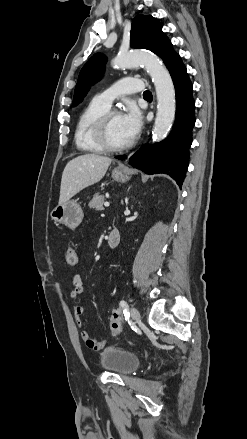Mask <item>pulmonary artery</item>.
<instances>
[{
  "label": "pulmonary artery",
  "instance_id": "e3ab8cb5",
  "mask_svg": "<svg viewBox=\"0 0 247 439\" xmlns=\"http://www.w3.org/2000/svg\"><path fill=\"white\" fill-rule=\"evenodd\" d=\"M144 89V83L133 77H125L117 81L110 88L106 89L102 93L98 94L95 99L102 104L111 107L113 101L119 96L141 92Z\"/></svg>",
  "mask_w": 247,
  "mask_h": 439
}]
</instances>
